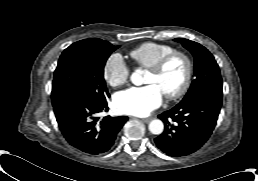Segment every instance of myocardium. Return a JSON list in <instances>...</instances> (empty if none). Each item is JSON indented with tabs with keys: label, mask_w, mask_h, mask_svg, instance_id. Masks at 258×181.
Segmentation results:
<instances>
[{
	"label": "myocardium",
	"mask_w": 258,
	"mask_h": 181,
	"mask_svg": "<svg viewBox=\"0 0 258 181\" xmlns=\"http://www.w3.org/2000/svg\"><path fill=\"white\" fill-rule=\"evenodd\" d=\"M175 58H180L184 61L185 76H184L181 86L177 90H175L173 92L164 93L168 99L180 98L188 91V89L191 85L193 70H194V65H193V61H192L191 57L183 51L174 50V51L166 54L162 58H160L154 65H152L151 67L148 68V70L150 72H153L155 74H160L161 72H163V70L166 68V66L169 64V62Z\"/></svg>",
	"instance_id": "f54148a6"
}]
</instances>
